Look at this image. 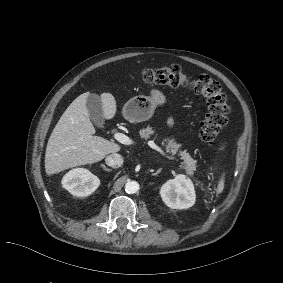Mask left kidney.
<instances>
[{
  "instance_id": "5707ae66",
  "label": "left kidney",
  "mask_w": 283,
  "mask_h": 283,
  "mask_svg": "<svg viewBox=\"0 0 283 283\" xmlns=\"http://www.w3.org/2000/svg\"><path fill=\"white\" fill-rule=\"evenodd\" d=\"M160 195L164 203L172 209H187L194 205L196 194L192 181L178 174L162 185Z\"/></svg>"
}]
</instances>
